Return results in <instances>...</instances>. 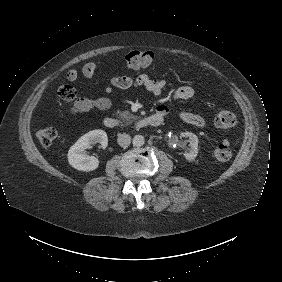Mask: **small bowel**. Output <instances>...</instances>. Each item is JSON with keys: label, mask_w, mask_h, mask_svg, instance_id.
<instances>
[{"label": "small bowel", "mask_w": 282, "mask_h": 282, "mask_svg": "<svg viewBox=\"0 0 282 282\" xmlns=\"http://www.w3.org/2000/svg\"><path fill=\"white\" fill-rule=\"evenodd\" d=\"M97 72V64L88 62L82 67V74L86 78H93ZM70 82H77L79 72L76 69H70L66 74ZM110 87L106 92H111L112 88L127 90L131 88H144L156 97H160L166 87V82L160 79H153L146 74H141L135 78L127 76H110L108 78ZM196 91L191 86H181L173 94L174 101L188 100L195 97ZM112 106V101L108 97L98 98H79L74 101L71 106V112L83 113L91 110H107ZM168 109L165 106H159L154 115H160L163 118L167 115ZM175 115L183 122L198 127L204 128L207 125L206 119L196 113L180 110H175Z\"/></svg>", "instance_id": "small-bowel-1"}]
</instances>
